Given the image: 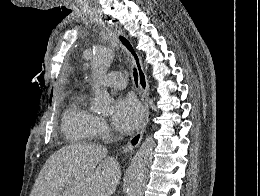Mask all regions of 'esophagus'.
Wrapping results in <instances>:
<instances>
[{
  "label": "esophagus",
  "mask_w": 260,
  "mask_h": 196,
  "mask_svg": "<svg viewBox=\"0 0 260 196\" xmlns=\"http://www.w3.org/2000/svg\"><path fill=\"white\" fill-rule=\"evenodd\" d=\"M117 39L119 43L122 45V47L129 53V55L132 57L134 65L136 67L137 73H138V84L142 91L141 95V101L143 105V117L141 124L134 134L132 138L128 141V143L122 147V153L124 155L131 154L133 151L139 146L142 138L143 133L145 131V128L147 126V121L149 117V84L147 80V75L145 73V70L143 68V64L141 61L140 56L138 55L137 51L135 50L133 44L131 41L126 37L124 32H118L117 33Z\"/></svg>",
  "instance_id": "obj_1"
}]
</instances>
